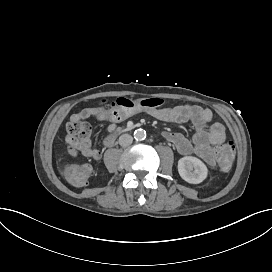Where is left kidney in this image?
<instances>
[{
	"label": "left kidney",
	"instance_id": "obj_1",
	"mask_svg": "<svg viewBox=\"0 0 272 272\" xmlns=\"http://www.w3.org/2000/svg\"><path fill=\"white\" fill-rule=\"evenodd\" d=\"M178 169L181 177L189 183H200L207 175L206 166L195 157L180 159Z\"/></svg>",
	"mask_w": 272,
	"mask_h": 272
}]
</instances>
